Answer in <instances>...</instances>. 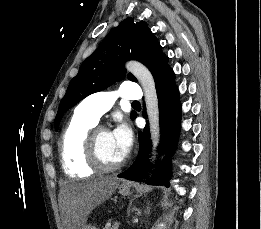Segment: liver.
Segmentation results:
<instances>
[{
  "label": "liver",
  "mask_w": 261,
  "mask_h": 229,
  "mask_svg": "<svg viewBox=\"0 0 261 229\" xmlns=\"http://www.w3.org/2000/svg\"><path fill=\"white\" fill-rule=\"evenodd\" d=\"M119 181L115 177H100L69 185L64 217L68 229H82L91 211L115 193Z\"/></svg>",
  "instance_id": "liver-1"
}]
</instances>
